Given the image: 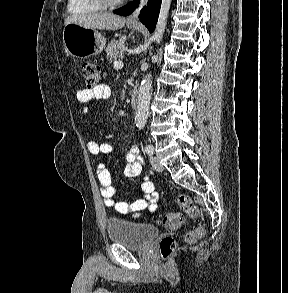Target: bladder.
I'll use <instances>...</instances> for the list:
<instances>
[{
    "label": "bladder",
    "instance_id": "bladder-1",
    "mask_svg": "<svg viewBox=\"0 0 288 293\" xmlns=\"http://www.w3.org/2000/svg\"><path fill=\"white\" fill-rule=\"evenodd\" d=\"M106 231L111 242L129 249H145L158 236L153 225L117 219L107 222Z\"/></svg>",
    "mask_w": 288,
    "mask_h": 293
}]
</instances>
